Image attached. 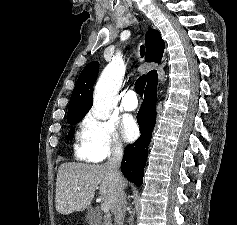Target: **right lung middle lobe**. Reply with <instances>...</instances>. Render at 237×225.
<instances>
[{
  "label": "right lung middle lobe",
  "instance_id": "obj_1",
  "mask_svg": "<svg viewBox=\"0 0 237 225\" xmlns=\"http://www.w3.org/2000/svg\"><path fill=\"white\" fill-rule=\"evenodd\" d=\"M86 113L87 112H84V111L70 112V113L67 114V122L69 124H76V123H78L79 121H81L83 119V117L85 116ZM73 135H74V128H72L69 131L67 139L72 140Z\"/></svg>",
  "mask_w": 237,
  "mask_h": 225
}]
</instances>
